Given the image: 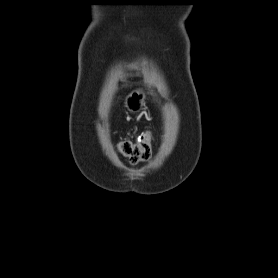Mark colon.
Instances as JSON below:
<instances>
[{
    "instance_id": "1",
    "label": "colon",
    "mask_w": 278,
    "mask_h": 278,
    "mask_svg": "<svg viewBox=\"0 0 278 278\" xmlns=\"http://www.w3.org/2000/svg\"><path fill=\"white\" fill-rule=\"evenodd\" d=\"M151 135L146 132L141 134L136 141L123 140L118 149L121 154L130 159L131 162H139L148 158L150 154Z\"/></svg>"
}]
</instances>
